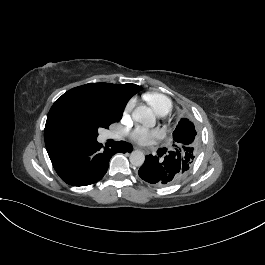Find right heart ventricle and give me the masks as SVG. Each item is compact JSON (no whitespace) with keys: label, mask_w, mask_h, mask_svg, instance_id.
I'll use <instances>...</instances> for the list:
<instances>
[{"label":"right heart ventricle","mask_w":265,"mask_h":265,"mask_svg":"<svg viewBox=\"0 0 265 265\" xmlns=\"http://www.w3.org/2000/svg\"><path fill=\"white\" fill-rule=\"evenodd\" d=\"M146 105L150 109H154V113L158 117H165L172 109V105L163 95L146 94Z\"/></svg>","instance_id":"e07e8e85"}]
</instances>
